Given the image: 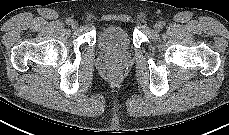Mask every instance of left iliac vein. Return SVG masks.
<instances>
[{
	"label": "left iliac vein",
	"instance_id": "1",
	"mask_svg": "<svg viewBox=\"0 0 229 135\" xmlns=\"http://www.w3.org/2000/svg\"><path fill=\"white\" fill-rule=\"evenodd\" d=\"M162 27H161V25H160V23H156L155 25H154V30L155 31H160V29H161Z\"/></svg>",
	"mask_w": 229,
	"mask_h": 135
}]
</instances>
